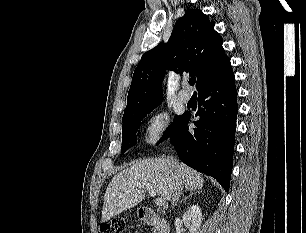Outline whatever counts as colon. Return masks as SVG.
Segmentation results:
<instances>
[{
  "label": "colon",
  "mask_w": 306,
  "mask_h": 233,
  "mask_svg": "<svg viewBox=\"0 0 306 233\" xmlns=\"http://www.w3.org/2000/svg\"><path fill=\"white\" fill-rule=\"evenodd\" d=\"M125 222L121 219H115L110 223L102 224L100 233H123Z\"/></svg>",
  "instance_id": "5ec220e1"
}]
</instances>
